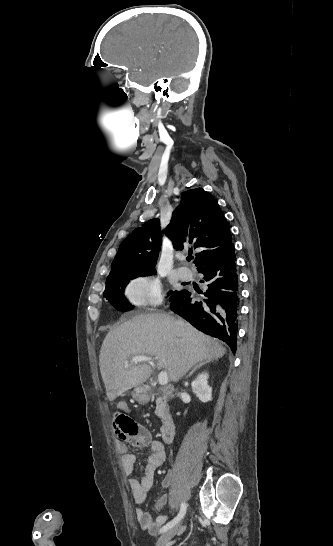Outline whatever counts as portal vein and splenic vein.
Instances as JSON below:
<instances>
[{"mask_svg": "<svg viewBox=\"0 0 333 546\" xmlns=\"http://www.w3.org/2000/svg\"><path fill=\"white\" fill-rule=\"evenodd\" d=\"M153 358L151 356H133L130 359V362L138 363V362H152ZM129 361L125 362V366L128 367ZM158 382L160 385H166L168 383V375L166 371H161L158 375Z\"/></svg>", "mask_w": 333, "mask_h": 546, "instance_id": "portal-vein-and-splenic-vein-1", "label": "portal vein and splenic vein"}]
</instances>
